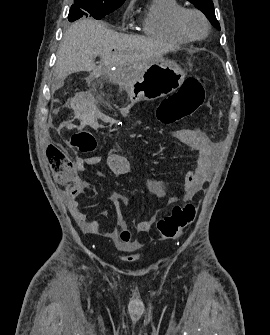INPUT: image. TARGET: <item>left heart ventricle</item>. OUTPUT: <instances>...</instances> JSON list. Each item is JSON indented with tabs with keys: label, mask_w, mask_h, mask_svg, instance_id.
<instances>
[{
	"label": "left heart ventricle",
	"mask_w": 270,
	"mask_h": 335,
	"mask_svg": "<svg viewBox=\"0 0 270 335\" xmlns=\"http://www.w3.org/2000/svg\"><path fill=\"white\" fill-rule=\"evenodd\" d=\"M185 26L194 37H201L205 33V25L202 19L196 14H188L185 18Z\"/></svg>",
	"instance_id": "b2bd125f"
}]
</instances>
